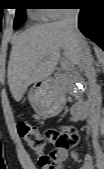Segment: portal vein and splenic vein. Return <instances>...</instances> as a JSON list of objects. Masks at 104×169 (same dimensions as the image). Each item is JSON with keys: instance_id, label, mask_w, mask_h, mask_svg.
<instances>
[{"instance_id": "obj_1", "label": "portal vein and splenic vein", "mask_w": 104, "mask_h": 169, "mask_svg": "<svg viewBox=\"0 0 104 169\" xmlns=\"http://www.w3.org/2000/svg\"><path fill=\"white\" fill-rule=\"evenodd\" d=\"M62 66L65 70H72L74 68V65L69 60L63 61Z\"/></svg>"}]
</instances>
